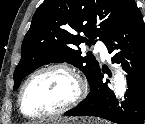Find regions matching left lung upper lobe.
Here are the masks:
<instances>
[{
  "label": "left lung upper lobe",
  "mask_w": 145,
  "mask_h": 124,
  "mask_svg": "<svg viewBox=\"0 0 145 124\" xmlns=\"http://www.w3.org/2000/svg\"><path fill=\"white\" fill-rule=\"evenodd\" d=\"M135 4L133 0H45L23 40L22 57L14 72V91L41 65L61 62L78 67L91 87L99 63L94 56H81L76 48L84 42L94 45L97 37L107 45Z\"/></svg>",
  "instance_id": "1"
}]
</instances>
